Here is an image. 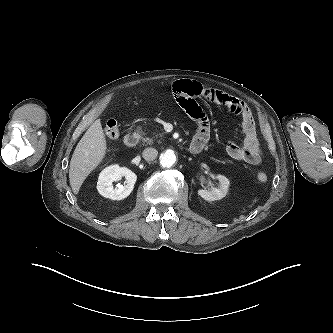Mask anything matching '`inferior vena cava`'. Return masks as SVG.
<instances>
[{"label": "inferior vena cava", "mask_w": 333, "mask_h": 333, "mask_svg": "<svg viewBox=\"0 0 333 333\" xmlns=\"http://www.w3.org/2000/svg\"><path fill=\"white\" fill-rule=\"evenodd\" d=\"M158 155V151L154 148H146L144 151H143V158L146 160V161H153L154 159H156Z\"/></svg>", "instance_id": "602c4592"}]
</instances>
